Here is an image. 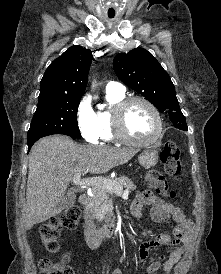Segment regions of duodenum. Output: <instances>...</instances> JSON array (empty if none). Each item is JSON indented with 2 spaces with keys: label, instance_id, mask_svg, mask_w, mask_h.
Masks as SVG:
<instances>
[{
  "label": "duodenum",
  "instance_id": "obj_1",
  "mask_svg": "<svg viewBox=\"0 0 221 274\" xmlns=\"http://www.w3.org/2000/svg\"><path fill=\"white\" fill-rule=\"evenodd\" d=\"M91 201V197L87 193H83L79 197V203L84 207H87ZM86 226H85V240L88 246L95 248L99 246L106 238L112 237L116 233V226L113 221L106 222L98 230L93 228V216L87 211L85 214Z\"/></svg>",
  "mask_w": 221,
  "mask_h": 274
}]
</instances>
